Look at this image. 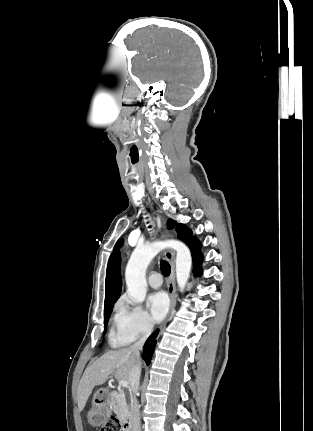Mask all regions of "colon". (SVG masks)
Instances as JSON below:
<instances>
[{
    "label": "colon",
    "instance_id": "1",
    "mask_svg": "<svg viewBox=\"0 0 313 431\" xmlns=\"http://www.w3.org/2000/svg\"><path fill=\"white\" fill-rule=\"evenodd\" d=\"M100 431H122V426L117 418L111 417Z\"/></svg>",
    "mask_w": 313,
    "mask_h": 431
}]
</instances>
